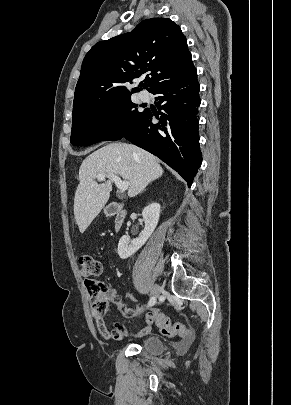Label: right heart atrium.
<instances>
[{"mask_svg":"<svg viewBox=\"0 0 291 405\" xmlns=\"http://www.w3.org/2000/svg\"><path fill=\"white\" fill-rule=\"evenodd\" d=\"M116 121H117V115L109 114L103 118L102 126L105 128H110L116 123Z\"/></svg>","mask_w":291,"mask_h":405,"instance_id":"d8ad5b80","label":"right heart atrium"}]
</instances>
